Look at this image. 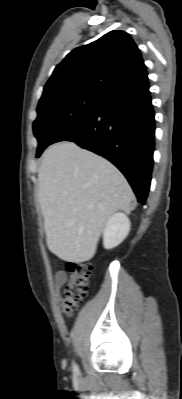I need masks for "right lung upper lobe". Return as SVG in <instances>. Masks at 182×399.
<instances>
[{
    "label": "right lung upper lobe",
    "mask_w": 182,
    "mask_h": 399,
    "mask_svg": "<svg viewBox=\"0 0 182 399\" xmlns=\"http://www.w3.org/2000/svg\"><path fill=\"white\" fill-rule=\"evenodd\" d=\"M148 80L141 53L131 36L111 31L71 51L46 83L39 102L73 94H108Z\"/></svg>",
    "instance_id": "cb5924a9"
}]
</instances>
